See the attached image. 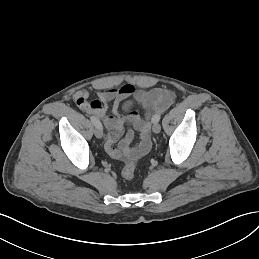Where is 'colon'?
Returning <instances> with one entry per match:
<instances>
[{
  "label": "colon",
  "instance_id": "1",
  "mask_svg": "<svg viewBox=\"0 0 259 259\" xmlns=\"http://www.w3.org/2000/svg\"><path fill=\"white\" fill-rule=\"evenodd\" d=\"M136 173V163L135 162H128L121 170L122 178L126 180H131L134 178Z\"/></svg>",
  "mask_w": 259,
  "mask_h": 259
}]
</instances>
